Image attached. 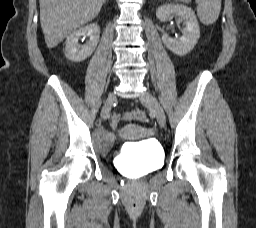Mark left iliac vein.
Returning a JSON list of instances; mask_svg holds the SVG:
<instances>
[{
    "label": "left iliac vein",
    "mask_w": 256,
    "mask_h": 228,
    "mask_svg": "<svg viewBox=\"0 0 256 228\" xmlns=\"http://www.w3.org/2000/svg\"><path fill=\"white\" fill-rule=\"evenodd\" d=\"M141 102L147 106L156 116V119L161 127L165 126L166 117L164 110L158 100L149 92H144L140 97Z\"/></svg>",
    "instance_id": "obj_1"
}]
</instances>
